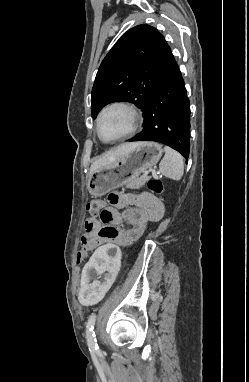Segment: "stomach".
<instances>
[{
  "label": "stomach",
  "mask_w": 249,
  "mask_h": 382,
  "mask_svg": "<svg viewBox=\"0 0 249 382\" xmlns=\"http://www.w3.org/2000/svg\"><path fill=\"white\" fill-rule=\"evenodd\" d=\"M162 155V146L156 142H139L133 149L107 167L97 169L88 180L87 189L100 197L123 186L129 178L155 166Z\"/></svg>",
  "instance_id": "obj_1"
}]
</instances>
